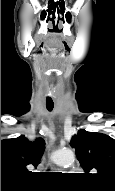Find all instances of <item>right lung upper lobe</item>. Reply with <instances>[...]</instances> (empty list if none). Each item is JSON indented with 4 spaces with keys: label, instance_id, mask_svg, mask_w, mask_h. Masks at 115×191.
Masks as SVG:
<instances>
[{
    "label": "right lung upper lobe",
    "instance_id": "cb5924a9",
    "mask_svg": "<svg viewBox=\"0 0 115 191\" xmlns=\"http://www.w3.org/2000/svg\"><path fill=\"white\" fill-rule=\"evenodd\" d=\"M44 148L45 142L41 138L31 142L21 135L1 140V188L21 184L31 173L27 168L39 164Z\"/></svg>",
    "mask_w": 115,
    "mask_h": 191
}]
</instances>
